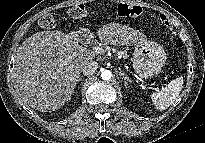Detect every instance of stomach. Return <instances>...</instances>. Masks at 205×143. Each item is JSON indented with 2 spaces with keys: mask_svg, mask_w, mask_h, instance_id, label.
<instances>
[{
  "mask_svg": "<svg viewBox=\"0 0 205 143\" xmlns=\"http://www.w3.org/2000/svg\"><path fill=\"white\" fill-rule=\"evenodd\" d=\"M166 53L161 45L153 41H144L135 46L132 63L142 78L157 76L165 65Z\"/></svg>",
  "mask_w": 205,
  "mask_h": 143,
  "instance_id": "obj_1",
  "label": "stomach"
}]
</instances>
